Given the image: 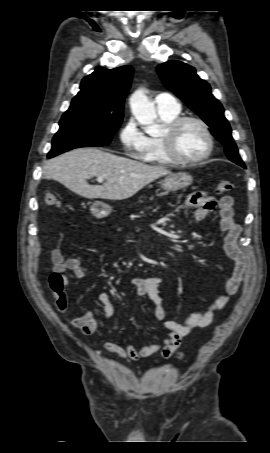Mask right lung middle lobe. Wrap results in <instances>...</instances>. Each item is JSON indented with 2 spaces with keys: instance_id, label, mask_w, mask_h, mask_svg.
Here are the masks:
<instances>
[{
  "instance_id": "obj_1",
  "label": "right lung middle lobe",
  "mask_w": 270,
  "mask_h": 453,
  "mask_svg": "<svg viewBox=\"0 0 270 453\" xmlns=\"http://www.w3.org/2000/svg\"><path fill=\"white\" fill-rule=\"evenodd\" d=\"M121 122L97 114L63 116L47 157L79 147L108 145Z\"/></svg>"
}]
</instances>
